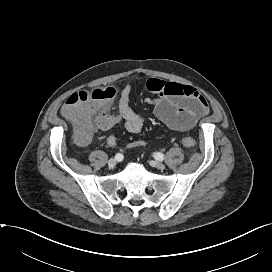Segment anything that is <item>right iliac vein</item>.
<instances>
[{
    "mask_svg": "<svg viewBox=\"0 0 272 272\" xmlns=\"http://www.w3.org/2000/svg\"><path fill=\"white\" fill-rule=\"evenodd\" d=\"M116 165V160L114 158H111L109 161H108V166L109 168H114Z\"/></svg>",
    "mask_w": 272,
    "mask_h": 272,
    "instance_id": "obj_1",
    "label": "right iliac vein"
}]
</instances>
